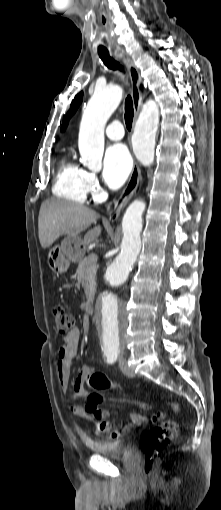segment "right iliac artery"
<instances>
[{
  "instance_id": "right-iliac-artery-1",
  "label": "right iliac artery",
  "mask_w": 221,
  "mask_h": 510,
  "mask_svg": "<svg viewBox=\"0 0 221 510\" xmlns=\"http://www.w3.org/2000/svg\"><path fill=\"white\" fill-rule=\"evenodd\" d=\"M105 356H106V359H107V362L112 364L116 361L117 359V356H118V352L117 351H113V350H109L105 353Z\"/></svg>"
}]
</instances>
